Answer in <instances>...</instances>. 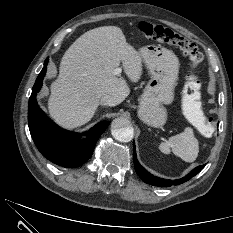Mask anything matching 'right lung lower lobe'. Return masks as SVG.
I'll list each match as a JSON object with an SVG mask.
<instances>
[{
    "instance_id": "obj_1",
    "label": "right lung lower lobe",
    "mask_w": 233,
    "mask_h": 233,
    "mask_svg": "<svg viewBox=\"0 0 233 233\" xmlns=\"http://www.w3.org/2000/svg\"><path fill=\"white\" fill-rule=\"evenodd\" d=\"M47 63L48 58L37 77L29 99L28 123L30 134L38 150L48 160L66 168L78 167L92 156L97 140L109 123L106 121L100 122L83 134L86 135V138L81 139L82 134L66 131L48 119L36 101V94L41 89Z\"/></svg>"
}]
</instances>
